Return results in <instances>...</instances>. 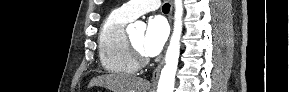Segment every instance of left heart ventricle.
<instances>
[{
	"label": "left heart ventricle",
	"mask_w": 289,
	"mask_h": 92,
	"mask_svg": "<svg viewBox=\"0 0 289 92\" xmlns=\"http://www.w3.org/2000/svg\"><path fill=\"white\" fill-rule=\"evenodd\" d=\"M144 32H136L133 35H131V40L134 43V45L143 52V40H144Z\"/></svg>",
	"instance_id": "obj_1"
}]
</instances>
